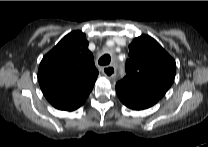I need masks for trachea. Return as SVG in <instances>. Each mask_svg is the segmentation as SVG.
I'll return each instance as SVG.
<instances>
[{"instance_id": "trachea-1", "label": "trachea", "mask_w": 208, "mask_h": 147, "mask_svg": "<svg viewBox=\"0 0 208 147\" xmlns=\"http://www.w3.org/2000/svg\"><path fill=\"white\" fill-rule=\"evenodd\" d=\"M110 61H111L110 55L105 54L99 59L98 63L99 65L105 66V65H109Z\"/></svg>"}]
</instances>
